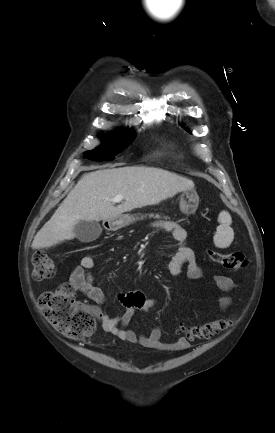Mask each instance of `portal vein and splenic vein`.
<instances>
[{
    "mask_svg": "<svg viewBox=\"0 0 275 433\" xmlns=\"http://www.w3.org/2000/svg\"><path fill=\"white\" fill-rule=\"evenodd\" d=\"M123 199L124 197L122 195H117L114 198L110 199V201L113 203H120Z\"/></svg>",
    "mask_w": 275,
    "mask_h": 433,
    "instance_id": "1",
    "label": "portal vein and splenic vein"
}]
</instances>
